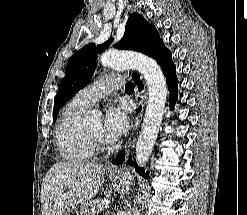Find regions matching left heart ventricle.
Instances as JSON below:
<instances>
[{
	"mask_svg": "<svg viewBox=\"0 0 247 215\" xmlns=\"http://www.w3.org/2000/svg\"><path fill=\"white\" fill-rule=\"evenodd\" d=\"M102 128H103L102 122L98 121V122H95V123L89 125L86 129L89 132H91L92 134L104 139L103 133H102Z\"/></svg>",
	"mask_w": 247,
	"mask_h": 215,
	"instance_id": "b2bd125f",
	"label": "left heart ventricle"
}]
</instances>
